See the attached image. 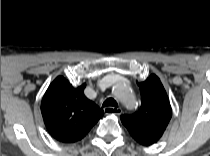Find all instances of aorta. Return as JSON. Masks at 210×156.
I'll list each match as a JSON object with an SVG mask.
<instances>
[{
    "instance_id": "aorta-1",
    "label": "aorta",
    "mask_w": 210,
    "mask_h": 156,
    "mask_svg": "<svg viewBox=\"0 0 210 156\" xmlns=\"http://www.w3.org/2000/svg\"><path fill=\"white\" fill-rule=\"evenodd\" d=\"M114 95L125 105L135 103V96L132 89L124 82H118L113 87Z\"/></svg>"
}]
</instances>
